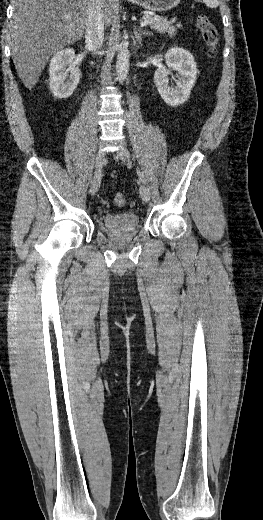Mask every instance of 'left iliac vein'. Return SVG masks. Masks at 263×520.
Listing matches in <instances>:
<instances>
[{"instance_id":"left-iliac-vein-1","label":"left iliac vein","mask_w":263,"mask_h":520,"mask_svg":"<svg viewBox=\"0 0 263 520\" xmlns=\"http://www.w3.org/2000/svg\"><path fill=\"white\" fill-rule=\"evenodd\" d=\"M116 155L117 157L124 161V162H129L130 161V153L129 151L122 147L121 149H119L117 152H116ZM140 196L142 198V200L144 202H149L150 200V190L148 187H146L145 185H141L140 186Z\"/></svg>"}]
</instances>
